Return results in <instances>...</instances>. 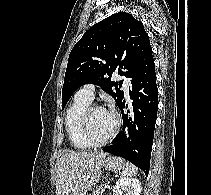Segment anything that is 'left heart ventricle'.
I'll return each mask as SVG.
<instances>
[{
  "label": "left heart ventricle",
  "mask_w": 211,
  "mask_h": 195,
  "mask_svg": "<svg viewBox=\"0 0 211 195\" xmlns=\"http://www.w3.org/2000/svg\"><path fill=\"white\" fill-rule=\"evenodd\" d=\"M115 119L109 110H96L91 114L89 120V134L95 141L106 138L112 131Z\"/></svg>",
  "instance_id": "1"
}]
</instances>
